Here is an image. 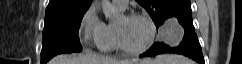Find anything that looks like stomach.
<instances>
[{"instance_id":"obj_1","label":"stomach","mask_w":242,"mask_h":64,"mask_svg":"<svg viewBox=\"0 0 242 64\" xmlns=\"http://www.w3.org/2000/svg\"><path fill=\"white\" fill-rule=\"evenodd\" d=\"M147 64H156V63H155V61H152V62H150V63H147Z\"/></svg>"}]
</instances>
